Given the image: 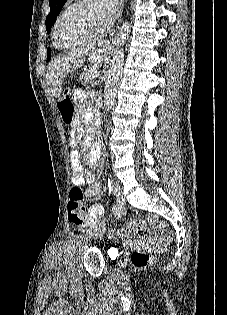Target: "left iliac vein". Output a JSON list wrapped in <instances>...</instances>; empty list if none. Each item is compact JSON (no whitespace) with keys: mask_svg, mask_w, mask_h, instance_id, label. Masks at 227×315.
<instances>
[{"mask_svg":"<svg viewBox=\"0 0 227 315\" xmlns=\"http://www.w3.org/2000/svg\"><path fill=\"white\" fill-rule=\"evenodd\" d=\"M114 191L116 193V206L117 209H121L124 204H125V196L122 192L121 186L118 182H114ZM106 227L105 224H102L94 233V238H98L100 237L104 231H105Z\"/></svg>","mask_w":227,"mask_h":315,"instance_id":"left-iliac-vein-1","label":"left iliac vein"}]
</instances>
